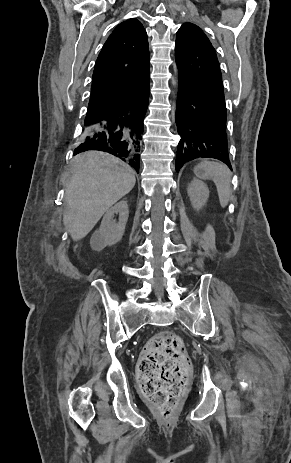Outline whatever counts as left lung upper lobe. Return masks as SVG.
Here are the masks:
<instances>
[{
  "instance_id": "5c2ea615",
  "label": "left lung upper lobe",
  "mask_w": 291,
  "mask_h": 463,
  "mask_svg": "<svg viewBox=\"0 0 291 463\" xmlns=\"http://www.w3.org/2000/svg\"><path fill=\"white\" fill-rule=\"evenodd\" d=\"M175 60L180 79L224 99L222 75L215 49L198 26L185 23L178 30Z\"/></svg>"
}]
</instances>
